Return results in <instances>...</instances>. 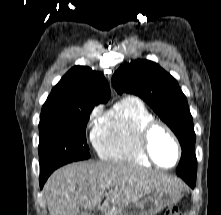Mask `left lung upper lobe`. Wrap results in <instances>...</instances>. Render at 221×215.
Instances as JSON below:
<instances>
[{
	"label": "left lung upper lobe",
	"instance_id": "left-lung-upper-lobe-1",
	"mask_svg": "<svg viewBox=\"0 0 221 215\" xmlns=\"http://www.w3.org/2000/svg\"><path fill=\"white\" fill-rule=\"evenodd\" d=\"M115 90L141 97L175 133L182 148L176 173L195 178L197 160L193 119L177 81L158 64L137 60L121 66L112 77Z\"/></svg>",
	"mask_w": 221,
	"mask_h": 215
}]
</instances>
